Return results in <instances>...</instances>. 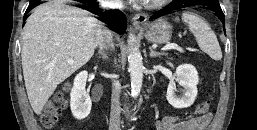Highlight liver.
<instances>
[{"instance_id": "1", "label": "liver", "mask_w": 257, "mask_h": 130, "mask_svg": "<svg viewBox=\"0 0 257 130\" xmlns=\"http://www.w3.org/2000/svg\"><path fill=\"white\" fill-rule=\"evenodd\" d=\"M102 30V24L87 11L56 0L38 6L26 20L22 68L36 114L41 113L57 86L91 59Z\"/></svg>"}]
</instances>
